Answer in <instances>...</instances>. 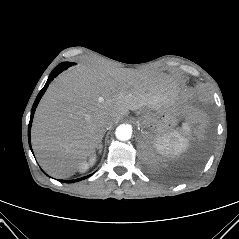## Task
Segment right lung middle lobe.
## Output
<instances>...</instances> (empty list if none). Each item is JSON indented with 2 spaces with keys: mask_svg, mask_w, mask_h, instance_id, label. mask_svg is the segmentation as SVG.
<instances>
[{
  "mask_svg": "<svg viewBox=\"0 0 239 239\" xmlns=\"http://www.w3.org/2000/svg\"><path fill=\"white\" fill-rule=\"evenodd\" d=\"M73 63L71 62H63V63H60L58 66H56L55 70L61 72L63 71L64 69H67L69 66H71Z\"/></svg>",
  "mask_w": 239,
  "mask_h": 239,
  "instance_id": "dd1d6c3e",
  "label": "right lung middle lobe"
}]
</instances>
